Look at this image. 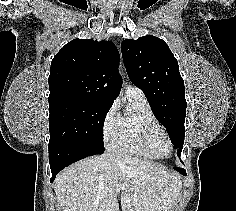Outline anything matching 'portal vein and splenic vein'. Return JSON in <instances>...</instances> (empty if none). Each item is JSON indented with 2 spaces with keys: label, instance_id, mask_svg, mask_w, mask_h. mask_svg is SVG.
Segmentation results:
<instances>
[{
  "label": "portal vein and splenic vein",
  "instance_id": "obj_1",
  "mask_svg": "<svg viewBox=\"0 0 236 211\" xmlns=\"http://www.w3.org/2000/svg\"><path fill=\"white\" fill-rule=\"evenodd\" d=\"M122 188H123V186L121 184H117L116 185V190L117 191H120Z\"/></svg>",
  "mask_w": 236,
  "mask_h": 211
}]
</instances>
